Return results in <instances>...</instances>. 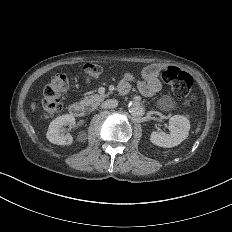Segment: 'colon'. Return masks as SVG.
I'll return each instance as SVG.
<instances>
[{"label":"colon","instance_id":"obj_1","mask_svg":"<svg viewBox=\"0 0 232 232\" xmlns=\"http://www.w3.org/2000/svg\"><path fill=\"white\" fill-rule=\"evenodd\" d=\"M99 72H104V67H98L93 62H88L82 73L88 76L90 79H95ZM55 81H45V87L43 94L47 98H36V103H41V107H44V111L49 114L50 117H60L61 102H65V95H57L60 92H65L68 85L67 77L64 74H53ZM162 79L166 83L174 81L175 94L177 97L183 99L188 103V107H199L200 103L196 102L198 94L192 90L191 79L181 69L169 68L163 71Z\"/></svg>","mask_w":232,"mask_h":232}]
</instances>
